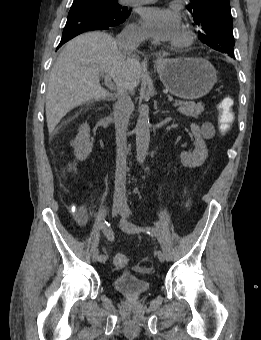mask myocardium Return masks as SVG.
Here are the masks:
<instances>
[{"label": "myocardium", "instance_id": "f54148a6", "mask_svg": "<svg viewBox=\"0 0 261 340\" xmlns=\"http://www.w3.org/2000/svg\"><path fill=\"white\" fill-rule=\"evenodd\" d=\"M191 42V36L186 31H182L179 36L174 40L173 46L175 48H183L190 45Z\"/></svg>", "mask_w": 261, "mask_h": 340}]
</instances>
